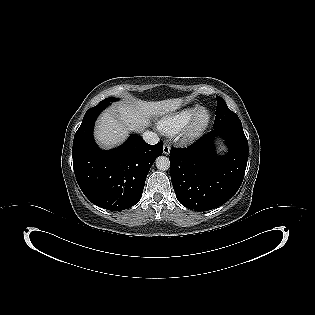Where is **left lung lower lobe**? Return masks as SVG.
Instances as JSON below:
<instances>
[{"instance_id": "0a47b994", "label": "left lung lower lobe", "mask_w": 315, "mask_h": 315, "mask_svg": "<svg viewBox=\"0 0 315 315\" xmlns=\"http://www.w3.org/2000/svg\"><path fill=\"white\" fill-rule=\"evenodd\" d=\"M222 136L229 153L217 156L214 139ZM170 172L178 201L194 210H209L227 202L239 189L248 160L242 127L214 129L187 148L170 150Z\"/></svg>"}]
</instances>
